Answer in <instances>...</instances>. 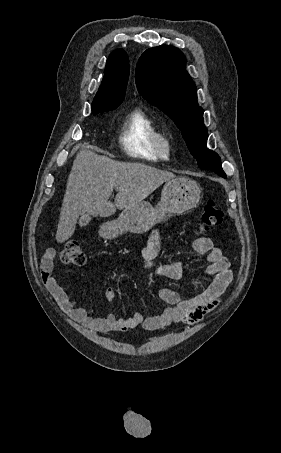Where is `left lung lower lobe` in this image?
<instances>
[{"instance_id":"0a47b994","label":"left lung lower lobe","mask_w":281,"mask_h":453,"mask_svg":"<svg viewBox=\"0 0 281 453\" xmlns=\"http://www.w3.org/2000/svg\"><path fill=\"white\" fill-rule=\"evenodd\" d=\"M218 175L223 177V178H226V174L224 172L223 173H219Z\"/></svg>"}]
</instances>
